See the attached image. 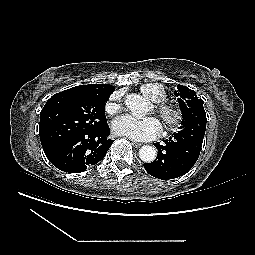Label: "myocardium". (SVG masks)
<instances>
[{
  "label": "myocardium",
  "mask_w": 255,
  "mask_h": 255,
  "mask_svg": "<svg viewBox=\"0 0 255 255\" xmlns=\"http://www.w3.org/2000/svg\"><path fill=\"white\" fill-rule=\"evenodd\" d=\"M154 113L161 119L166 131H172L180 127L184 121V110L177 104L160 102L154 106Z\"/></svg>",
  "instance_id": "obj_1"
}]
</instances>
